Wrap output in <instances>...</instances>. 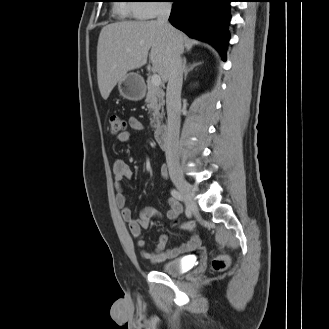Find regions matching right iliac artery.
<instances>
[{
    "instance_id": "obj_1",
    "label": "right iliac artery",
    "mask_w": 329,
    "mask_h": 329,
    "mask_svg": "<svg viewBox=\"0 0 329 329\" xmlns=\"http://www.w3.org/2000/svg\"><path fill=\"white\" fill-rule=\"evenodd\" d=\"M171 195L177 200H180V201L183 200L182 194L180 192H178L176 189L171 190Z\"/></svg>"
}]
</instances>
